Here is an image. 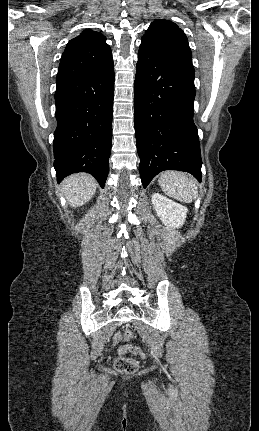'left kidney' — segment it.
Returning a JSON list of instances; mask_svg holds the SVG:
<instances>
[{"label": "left kidney", "mask_w": 259, "mask_h": 431, "mask_svg": "<svg viewBox=\"0 0 259 431\" xmlns=\"http://www.w3.org/2000/svg\"><path fill=\"white\" fill-rule=\"evenodd\" d=\"M152 204L158 217L168 228L175 229L184 224L188 212L185 206L159 193L152 195Z\"/></svg>", "instance_id": "left-kidney-1"}]
</instances>
